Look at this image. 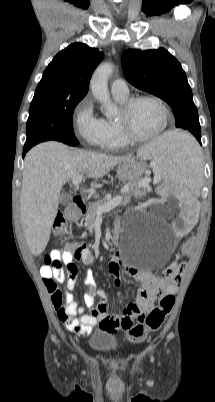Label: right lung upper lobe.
<instances>
[{
	"label": "right lung upper lobe",
	"instance_id": "right-lung-upper-lobe-1",
	"mask_svg": "<svg viewBox=\"0 0 215 402\" xmlns=\"http://www.w3.org/2000/svg\"><path fill=\"white\" fill-rule=\"evenodd\" d=\"M103 58V52L83 43H74L59 52L47 66L35 95L83 98L91 75Z\"/></svg>",
	"mask_w": 215,
	"mask_h": 402
}]
</instances>
